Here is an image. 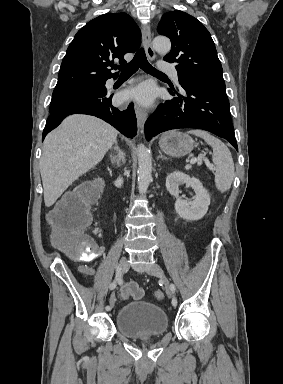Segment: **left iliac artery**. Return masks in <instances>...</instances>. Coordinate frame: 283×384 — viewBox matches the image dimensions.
Here are the masks:
<instances>
[{
	"label": "left iliac artery",
	"instance_id": "1",
	"mask_svg": "<svg viewBox=\"0 0 283 384\" xmlns=\"http://www.w3.org/2000/svg\"><path fill=\"white\" fill-rule=\"evenodd\" d=\"M170 287H171V292H172V294H173L172 305H173V306H177V303H178V302H177V298L175 297V291H176L175 285H174V284H171Z\"/></svg>",
	"mask_w": 283,
	"mask_h": 384
}]
</instances>
